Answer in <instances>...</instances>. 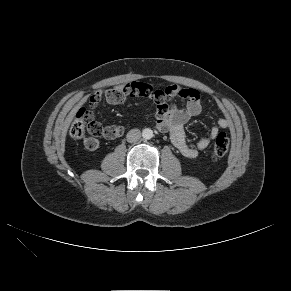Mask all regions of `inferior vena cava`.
Listing matches in <instances>:
<instances>
[{
  "label": "inferior vena cava",
  "instance_id": "602c4592",
  "mask_svg": "<svg viewBox=\"0 0 291 291\" xmlns=\"http://www.w3.org/2000/svg\"><path fill=\"white\" fill-rule=\"evenodd\" d=\"M126 138L129 143L137 142L141 138V131L139 129H131Z\"/></svg>",
  "mask_w": 291,
  "mask_h": 291
}]
</instances>
